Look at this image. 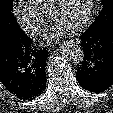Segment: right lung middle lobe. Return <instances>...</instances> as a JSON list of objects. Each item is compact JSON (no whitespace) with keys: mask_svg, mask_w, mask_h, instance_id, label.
<instances>
[{"mask_svg":"<svg viewBox=\"0 0 113 113\" xmlns=\"http://www.w3.org/2000/svg\"><path fill=\"white\" fill-rule=\"evenodd\" d=\"M14 0H0V39L20 29L14 14Z\"/></svg>","mask_w":113,"mask_h":113,"instance_id":"1","label":"right lung middle lobe"}]
</instances>
